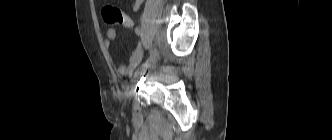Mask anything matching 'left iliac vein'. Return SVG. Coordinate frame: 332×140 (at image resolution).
Wrapping results in <instances>:
<instances>
[{
  "mask_svg": "<svg viewBox=\"0 0 332 140\" xmlns=\"http://www.w3.org/2000/svg\"><path fill=\"white\" fill-rule=\"evenodd\" d=\"M157 58H158V54L155 55V57L149 62V64H148L146 67L141 68L140 70H138V71L135 73V76H134V78H133V82H136V81L138 80V78H139L143 73H145L146 70H147L148 68L152 67V66L156 63ZM132 95H133V90H131V91L129 92V97H132Z\"/></svg>",
  "mask_w": 332,
  "mask_h": 140,
  "instance_id": "4c4485c4",
  "label": "left iliac vein"
}]
</instances>
